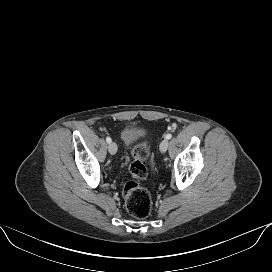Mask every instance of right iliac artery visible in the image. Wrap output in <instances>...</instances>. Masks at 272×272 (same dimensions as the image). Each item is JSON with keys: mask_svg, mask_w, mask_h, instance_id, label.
I'll return each mask as SVG.
<instances>
[{"mask_svg": "<svg viewBox=\"0 0 272 272\" xmlns=\"http://www.w3.org/2000/svg\"><path fill=\"white\" fill-rule=\"evenodd\" d=\"M106 141H107V143L110 144V143H111V138H110V137H107V138H106Z\"/></svg>", "mask_w": 272, "mask_h": 272, "instance_id": "right-iliac-artery-1", "label": "right iliac artery"}]
</instances>
